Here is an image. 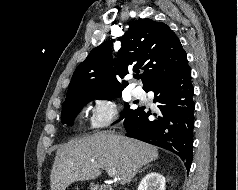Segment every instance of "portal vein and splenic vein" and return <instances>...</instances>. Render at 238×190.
<instances>
[{
  "label": "portal vein and splenic vein",
  "mask_w": 238,
  "mask_h": 190,
  "mask_svg": "<svg viewBox=\"0 0 238 190\" xmlns=\"http://www.w3.org/2000/svg\"><path fill=\"white\" fill-rule=\"evenodd\" d=\"M105 170L107 171V173H108V175H109L110 177H113L115 180L119 179V178L116 176V173H115L114 170H110V169H105Z\"/></svg>",
  "instance_id": "obj_1"
}]
</instances>
